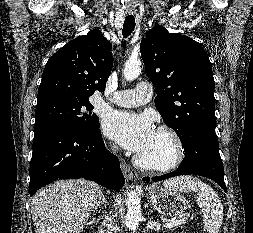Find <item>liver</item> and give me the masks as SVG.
Here are the masks:
<instances>
[{
  "instance_id": "1",
  "label": "liver",
  "mask_w": 253,
  "mask_h": 233,
  "mask_svg": "<svg viewBox=\"0 0 253 233\" xmlns=\"http://www.w3.org/2000/svg\"><path fill=\"white\" fill-rule=\"evenodd\" d=\"M101 190L83 179L59 180L41 189L31 201L35 233H81Z\"/></svg>"
}]
</instances>
